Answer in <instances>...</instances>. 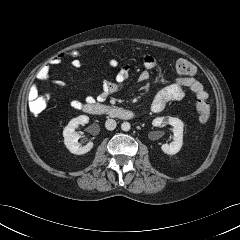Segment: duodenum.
<instances>
[{
	"label": "duodenum",
	"mask_w": 240,
	"mask_h": 240,
	"mask_svg": "<svg viewBox=\"0 0 240 240\" xmlns=\"http://www.w3.org/2000/svg\"><path fill=\"white\" fill-rule=\"evenodd\" d=\"M82 109L87 114L104 115L121 120H128L134 116L131 111L124 108L108 106L100 103H87Z\"/></svg>",
	"instance_id": "410a0bca"
}]
</instances>
